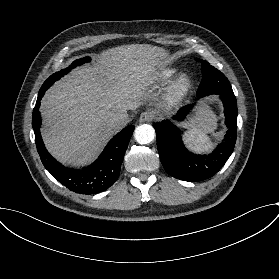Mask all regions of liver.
Listing matches in <instances>:
<instances>
[{
	"label": "liver",
	"mask_w": 279,
	"mask_h": 279,
	"mask_svg": "<svg viewBox=\"0 0 279 279\" xmlns=\"http://www.w3.org/2000/svg\"><path fill=\"white\" fill-rule=\"evenodd\" d=\"M168 56L165 49L149 44L122 45L56 82L41 101V132L48 152L65 165L93 162L120 130L108 124L111 116L141 105L154 82L155 67L167 64ZM205 109V104L198 108L192 124Z\"/></svg>",
	"instance_id": "1"
}]
</instances>
